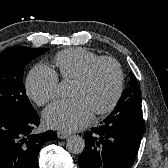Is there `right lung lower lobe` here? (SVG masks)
Masks as SVG:
<instances>
[{"instance_id": "98d812e1", "label": "right lung lower lobe", "mask_w": 168, "mask_h": 168, "mask_svg": "<svg viewBox=\"0 0 168 168\" xmlns=\"http://www.w3.org/2000/svg\"><path fill=\"white\" fill-rule=\"evenodd\" d=\"M39 123L37 112H0V168H38L41 147L57 138L54 131L33 134Z\"/></svg>"}]
</instances>
